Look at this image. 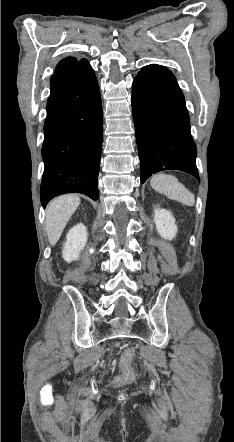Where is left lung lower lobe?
Instances as JSON below:
<instances>
[{"label":"left lung lower lobe","instance_id":"left-lung-lower-lobe-1","mask_svg":"<svg viewBox=\"0 0 234 442\" xmlns=\"http://www.w3.org/2000/svg\"><path fill=\"white\" fill-rule=\"evenodd\" d=\"M132 111L141 183L169 169L187 172L199 180L185 99L167 68L156 64L142 68L133 82Z\"/></svg>","mask_w":234,"mask_h":442}]
</instances>
